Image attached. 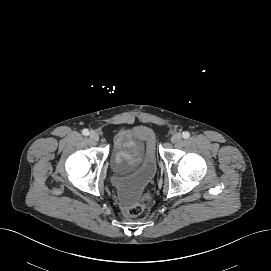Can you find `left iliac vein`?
Returning a JSON list of instances; mask_svg holds the SVG:
<instances>
[{"label":"left iliac vein","instance_id":"4c4485c4","mask_svg":"<svg viewBox=\"0 0 271 271\" xmlns=\"http://www.w3.org/2000/svg\"><path fill=\"white\" fill-rule=\"evenodd\" d=\"M182 139V135L181 133H175L172 137H171V142L172 143H178L180 142Z\"/></svg>","mask_w":271,"mask_h":271}]
</instances>
